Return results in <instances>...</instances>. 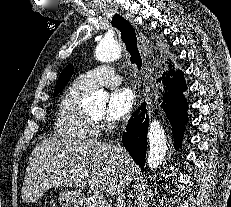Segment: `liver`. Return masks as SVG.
<instances>
[{
  "mask_svg": "<svg viewBox=\"0 0 231 207\" xmlns=\"http://www.w3.org/2000/svg\"><path fill=\"white\" fill-rule=\"evenodd\" d=\"M126 154V153H125ZM120 166L113 147L96 140L44 139L33 149L26 168L22 200L36 201L49 188H90L115 195L128 185L131 161Z\"/></svg>",
  "mask_w": 231,
  "mask_h": 207,
  "instance_id": "1",
  "label": "liver"
}]
</instances>
